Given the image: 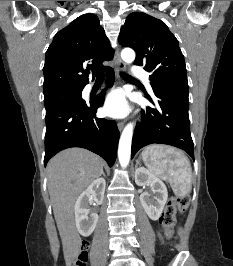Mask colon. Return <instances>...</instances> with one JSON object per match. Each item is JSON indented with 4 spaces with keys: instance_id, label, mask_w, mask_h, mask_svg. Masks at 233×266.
<instances>
[{
    "instance_id": "colon-1",
    "label": "colon",
    "mask_w": 233,
    "mask_h": 266,
    "mask_svg": "<svg viewBox=\"0 0 233 266\" xmlns=\"http://www.w3.org/2000/svg\"><path fill=\"white\" fill-rule=\"evenodd\" d=\"M189 202L190 200L187 196H172L168 199L161 217V223L165 227L168 237H171L173 234L177 214L184 213L189 206ZM87 249L88 243L82 241L79 251L70 256L68 266H86L88 259Z\"/></svg>"
}]
</instances>
